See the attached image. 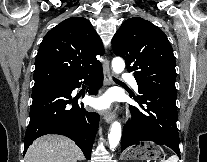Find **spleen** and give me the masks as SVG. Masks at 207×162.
I'll use <instances>...</instances> for the list:
<instances>
[{
	"mask_svg": "<svg viewBox=\"0 0 207 162\" xmlns=\"http://www.w3.org/2000/svg\"><path fill=\"white\" fill-rule=\"evenodd\" d=\"M164 162H178V157L176 155H172Z\"/></svg>",
	"mask_w": 207,
	"mask_h": 162,
	"instance_id": "3e777b00",
	"label": "spleen"
}]
</instances>
